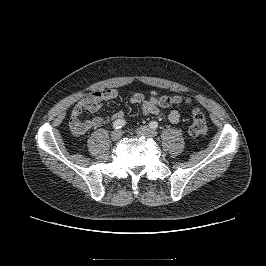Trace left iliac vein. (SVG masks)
Wrapping results in <instances>:
<instances>
[{"instance_id": "4c4485c4", "label": "left iliac vein", "mask_w": 266, "mask_h": 266, "mask_svg": "<svg viewBox=\"0 0 266 266\" xmlns=\"http://www.w3.org/2000/svg\"><path fill=\"white\" fill-rule=\"evenodd\" d=\"M138 135H143L146 137H155L157 135L156 130L148 126H141L136 130Z\"/></svg>"}]
</instances>
